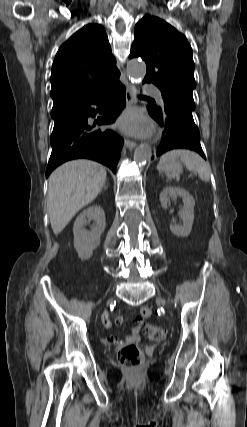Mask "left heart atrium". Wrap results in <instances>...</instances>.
<instances>
[{"label": "left heart atrium", "mask_w": 247, "mask_h": 427, "mask_svg": "<svg viewBox=\"0 0 247 427\" xmlns=\"http://www.w3.org/2000/svg\"><path fill=\"white\" fill-rule=\"evenodd\" d=\"M118 126L125 132L139 137L148 136L152 131L151 123L136 110L124 114Z\"/></svg>", "instance_id": "left-heart-atrium-1"}]
</instances>
